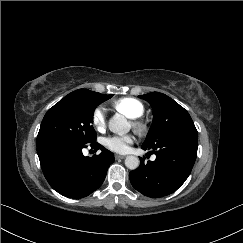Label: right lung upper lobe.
I'll return each mask as SVG.
<instances>
[{"instance_id":"right-lung-upper-lobe-1","label":"right lung upper lobe","mask_w":243,"mask_h":243,"mask_svg":"<svg viewBox=\"0 0 243 243\" xmlns=\"http://www.w3.org/2000/svg\"><path fill=\"white\" fill-rule=\"evenodd\" d=\"M97 94H100V93L93 92V91H90V90H87V89H78L76 91L71 92L68 95H73V96H94V95H97Z\"/></svg>"}]
</instances>
